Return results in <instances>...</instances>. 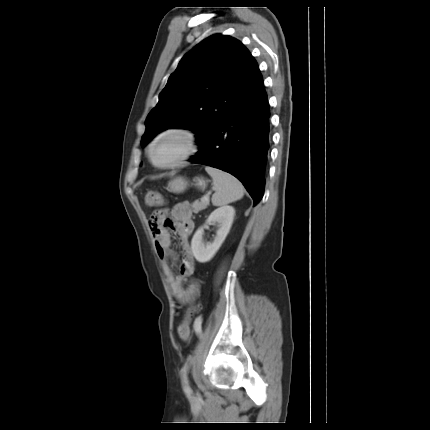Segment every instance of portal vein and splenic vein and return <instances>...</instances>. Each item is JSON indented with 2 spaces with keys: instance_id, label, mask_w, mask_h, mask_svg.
I'll return each mask as SVG.
<instances>
[{
  "instance_id": "18ae733b",
  "label": "portal vein and splenic vein",
  "mask_w": 430,
  "mask_h": 430,
  "mask_svg": "<svg viewBox=\"0 0 430 430\" xmlns=\"http://www.w3.org/2000/svg\"><path fill=\"white\" fill-rule=\"evenodd\" d=\"M202 200H203V201H207V200H209V196H208V195H205V196L202 198Z\"/></svg>"
}]
</instances>
